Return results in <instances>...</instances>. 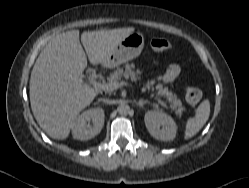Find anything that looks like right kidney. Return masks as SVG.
Returning <instances> with one entry per match:
<instances>
[{"label":"right kidney","mask_w":249,"mask_h":188,"mask_svg":"<svg viewBox=\"0 0 249 188\" xmlns=\"http://www.w3.org/2000/svg\"><path fill=\"white\" fill-rule=\"evenodd\" d=\"M104 110L102 108H92L79 115L73 126V138L78 140H89L101 132L104 126ZM92 121L93 125H90Z\"/></svg>","instance_id":"obj_1"}]
</instances>
